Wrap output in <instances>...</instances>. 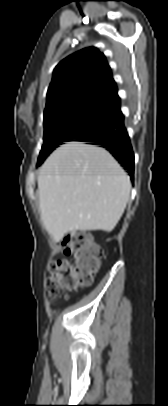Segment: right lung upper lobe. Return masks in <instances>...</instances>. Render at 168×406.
Returning a JSON list of instances; mask_svg holds the SVG:
<instances>
[{
    "label": "right lung upper lobe",
    "instance_id": "obj_1",
    "mask_svg": "<svg viewBox=\"0 0 168 406\" xmlns=\"http://www.w3.org/2000/svg\"><path fill=\"white\" fill-rule=\"evenodd\" d=\"M118 98L105 56L89 47L68 56L54 69L44 115L78 104L111 105Z\"/></svg>",
    "mask_w": 168,
    "mask_h": 406
}]
</instances>
